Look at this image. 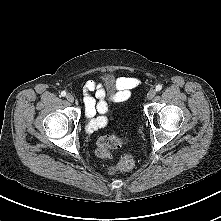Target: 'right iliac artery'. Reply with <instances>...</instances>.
Segmentation results:
<instances>
[{
  "mask_svg": "<svg viewBox=\"0 0 221 221\" xmlns=\"http://www.w3.org/2000/svg\"><path fill=\"white\" fill-rule=\"evenodd\" d=\"M61 96H62V97H65V96H66V92H65V91H62V92H61Z\"/></svg>",
  "mask_w": 221,
  "mask_h": 221,
  "instance_id": "1",
  "label": "right iliac artery"
}]
</instances>
